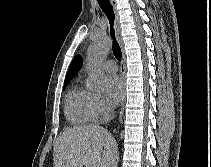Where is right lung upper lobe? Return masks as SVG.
<instances>
[{
  "mask_svg": "<svg viewBox=\"0 0 211 167\" xmlns=\"http://www.w3.org/2000/svg\"><path fill=\"white\" fill-rule=\"evenodd\" d=\"M82 63L83 61L80 55L74 57L66 74L65 82L70 81L71 78L81 69Z\"/></svg>",
  "mask_w": 211,
  "mask_h": 167,
  "instance_id": "1",
  "label": "right lung upper lobe"
}]
</instances>
